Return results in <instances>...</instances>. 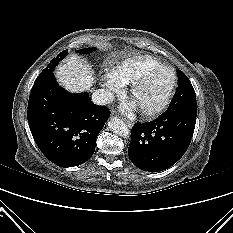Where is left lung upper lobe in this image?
Instances as JSON below:
<instances>
[{
    "label": "left lung upper lobe",
    "instance_id": "left-lung-upper-lobe-1",
    "mask_svg": "<svg viewBox=\"0 0 233 233\" xmlns=\"http://www.w3.org/2000/svg\"><path fill=\"white\" fill-rule=\"evenodd\" d=\"M177 74L179 84L168 110L179 111L196 108V94L190 80L179 69H177Z\"/></svg>",
    "mask_w": 233,
    "mask_h": 233
}]
</instances>
